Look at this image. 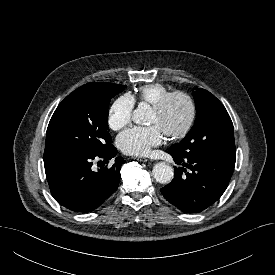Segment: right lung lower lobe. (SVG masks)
<instances>
[{
	"label": "right lung lower lobe",
	"instance_id": "obj_1",
	"mask_svg": "<svg viewBox=\"0 0 275 275\" xmlns=\"http://www.w3.org/2000/svg\"><path fill=\"white\" fill-rule=\"evenodd\" d=\"M117 153L113 145L100 155L71 152L44 153L45 173L55 200L74 212H90L100 206L118 187L120 168L125 162L117 157L110 168L93 171L94 159L108 162Z\"/></svg>",
	"mask_w": 275,
	"mask_h": 275
}]
</instances>
